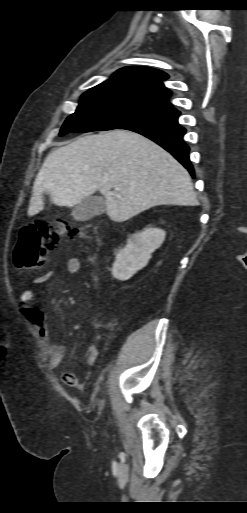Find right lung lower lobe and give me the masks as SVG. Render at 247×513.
<instances>
[{
  "label": "right lung lower lobe",
  "mask_w": 247,
  "mask_h": 513,
  "mask_svg": "<svg viewBox=\"0 0 247 513\" xmlns=\"http://www.w3.org/2000/svg\"><path fill=\"white\" fill-rule=\"evenodd\" d=\"M179 114L175 110L126 124L120 129L137 132L156 142L170 152L194 177V169L189 160V147L183 140L186 129L178 123Z\"/></svg>",
  "instance_id": "98d812e1"
}]
</instances>
